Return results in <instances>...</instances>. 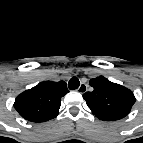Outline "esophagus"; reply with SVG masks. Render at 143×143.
Wrapping results in <instances>:
<instances>
[{"instance_id":"34e87169","label":"esophagus","mask_w":143,"mask_h":143,"mask_svg":"<svg viewBox=\"0 0 143 143\" xmlns=\"http://www.w3.org/2000/svg\"><path fill=\"white\" fill-rule=\"evenodd\" d=\"M86 90H87V85L85 83H81L80 86H79V88L77 89V91L79 93H82V94L85 93Z\"/></svg>"}]
</instances>
